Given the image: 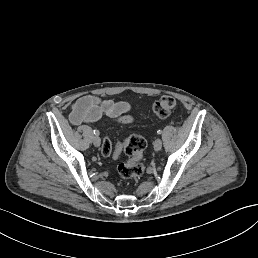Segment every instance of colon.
<instances>
[{
  "mask_svg": "<svg viewBox=\"0 0 258 258\" xmlns=\"http://www.w3.org/2000/svg\"><path fill=\"white\" fill-rule=\"evenodd\" d=\"M176 106V101L171 96H163L153 104V112L159 118H167ZM146 148L145 139L133 134L122 142L113 144L109 138L102 142L101 153L113 159H117L122 153L127 160L118 165V173L123 179H136L144 172L142 162L143 152Z\"/></svg>",
  "mask_w": 258,
  "mask_h": 258,
  "instance_id": "1",
  "label": "colon"
}]
</instances>
